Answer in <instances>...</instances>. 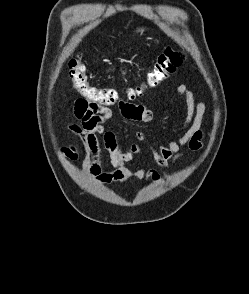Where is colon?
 <instances>
[{
  "label": "colon",
  "mask_w": 249,
  "mask_h": 294,
  "mask_svg": "<svg viewBox=\"0 0 249 294\" xmlns=\"http://www.w3.org/2000/svg\"><path fill=\"white\" fill-rule=\"evenodd\" d=\"M184 54L172 47H166L159 54L156 62L148 70L143 82L140 85L129 86L123 89L115 87H95L89 82L86 67L80 57L72 58L69 61V77L73 88L83 96L91 105L110 106L120 100L134 99L145 90L161 85L182 65Z\"/></svg>",
  "instance_id": "1"
}]
</instances>
